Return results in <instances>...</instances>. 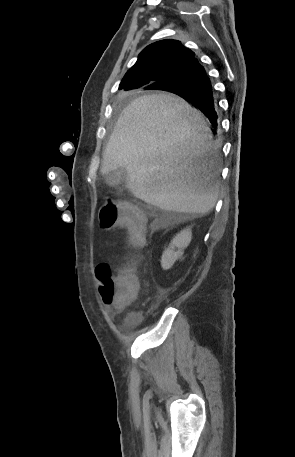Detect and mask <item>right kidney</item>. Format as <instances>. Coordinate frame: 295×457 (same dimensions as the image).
I'll list each match as a JSON object with an SVG mask.
<instances>
[{
    "mask_svg": "<svg viewBox=\"0 0 295 457\" xmlns=\"http://www.w3.org/2000/svg\"><path fill=\"white\" fill-rule=\"evenodd\" d=\"M192 233L191 230L184 229L175 236L170 246L163 252L161 265L163 269H169L172 267L174 262L181 258L183 250L189 245L191 241ZM177 248V250H175Z\"/></svg>",
    "mask_w": 295,
    "mask_h": 457,
    "instance_id": "ca27d5eb",
    "label": "right kidney"
}]
</instances>
